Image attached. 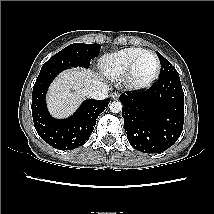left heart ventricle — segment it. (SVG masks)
<instances>
[{
  "instance_id": "1",
  "label": "left heart ventricle",
  "mask_w": 214,
  "mask_h": 214,
  "mask_svg": "<svg viewBox=\"0 0 214 214\" xmlns=\"http://www.w3.org/2000/svg\"><path fill=\"white\" fill-rule=\"evenodd\" d=\"M156 69V59L153 55H144L135 69V77L144 80L150 77Z\"/></svg>"
}]
</instances>
